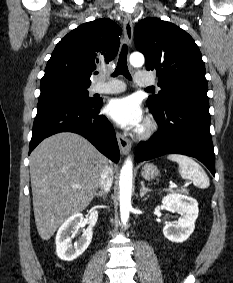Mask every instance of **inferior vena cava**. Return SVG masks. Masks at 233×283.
Instances as JSON below:
<instances>
[{
  "instance_id": "obj_1",
  "label": "inferior vena cava",
  "mask_w": 233,
  "mask_h": 283,
  "mask_svg": "<svg viewBox=\"0 0 233 283\" xmlns=\"http://www.w3.org/2000/svg\"><path fill=\"white\" fill-rule=\"evenodd\" d=\"M113 183V170L107 164L104 166L100 186L104 190V192H108Z\"/></svg>"
}]
</instances>
